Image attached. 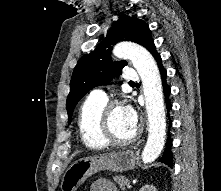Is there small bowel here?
Here are the masks:
<instances>
[{
    "instance_id": "small-bowel-1",
    "label": "small bowel",
    "mask_w": 221,
    "mask_h": 191,
    "mask_svg": "<svg viewBox=\"0 0 221 191\" xmlns=\"http://www.w3.org/2000/svg\"><path fill=\"white\" fill-rule=\"evenodd\" d=\"M90 191H117V189L110 181L97 180L91 185Z\"/></svg>"
}]
</instances>
